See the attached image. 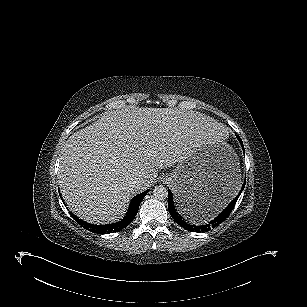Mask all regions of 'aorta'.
Here are the masks:
<instances>
[{
    "label": "aorta",
    "mask_w": 307,
    "mask_h": 307,
    "mask_svg": "<svg viewBox=\"0 0 307 307\" xmlns=\"http://www.w3.org/2000/svg\"><path fill=\"white\" fill-rule=\"evenodd\" d=\"M153 196L157 200H165L168 197V191L166 187L162 185L155 186V188L153 189Z\"/></svg>",
    "instance_id": "obj_1"
}]
</instances>
